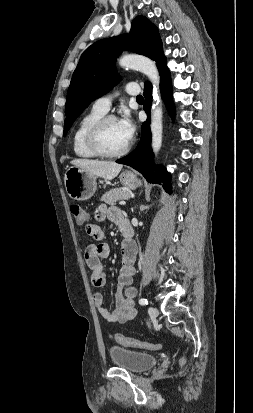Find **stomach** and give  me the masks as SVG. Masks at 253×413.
Listing matches in <instances>:
<instances>
[{"label": "stomach", "mask_w": 253, "mask_h": 413, "mask_svg": "<svg viewBox=\"0 0 253 413\" xmlns=\"http://www.w3.org/2000/svg\"><path fill=\"white\" fill-rule=\"evenodd\" d=\"M120 183L127 189L134 190L141 185V181L131 171H124L119 175ZM66 192L74 200L84 201L90 199L96 191V176L85 170L71 166L64 176Z\"/></svg>", "instance_id": "obj_1"}]
</instances>
